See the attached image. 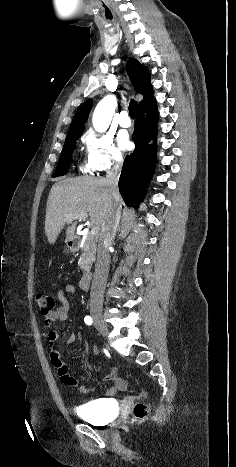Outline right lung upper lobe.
<instances>
[{
    "label": "right lung upper lobe",
    "mask_w": 236,
    "mask_h": 467,
    "mask_svg": "<svg viewBox=\"0 0 236 467\" xmlns=\"http://www.w3.org/2000/svg\"><path fill=\"white\" fill-rule=\"evenodd\" d=\"M127 72L132 81L135 90L143 95V100L139 103L141 109L154 101L152 86L150 84V73L136 59H129L127 62ZM93 101H86L76 112L67 135L82 133L84 123L86 122L91 110Z\"/></svg>",
    "instance_id": "right-lung-upper-lobe-1"
}]
</instances>
